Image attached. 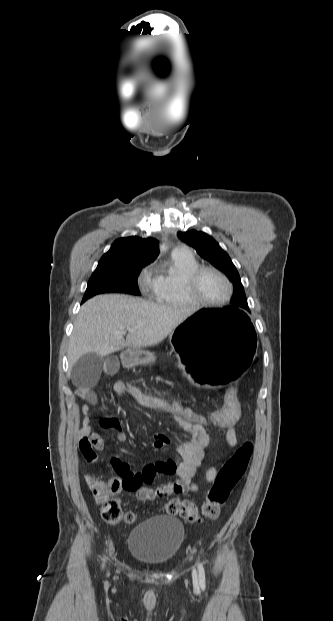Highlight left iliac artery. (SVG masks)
Listing matches in <instances>:
<instances>
[{"label":"left iliac artery","mask_w":333,"mask_h":621,"mask_svg":"<svg viewBox=\"0 0 333 621\" xmlns=\"http://www.w3.org/2000/svg\"><path fill=\"white\" fill-rule=\"evenodd\" d=\"M198 572H199V583L201 585V587L204 589L205 588V571L203 568L202 563H198Z\"/></svg>","instance_id":"left-iliac-artery-1"}]
</instances>
